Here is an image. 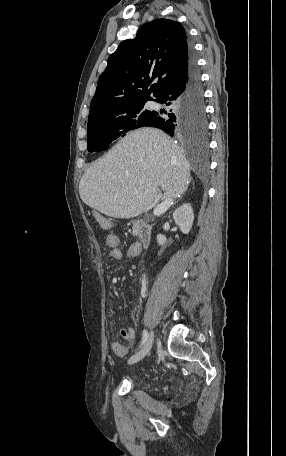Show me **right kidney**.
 <instances>
[{"mask_svg":"<svg viewBox=\"0 0 286 456\" xmlns=\"http://www.w3.org/2000/svg\"><path fill=\"white\" fill-rule=\"evenodd\" d=\"M175 223L180 227L183 234H188L192 228L194 221V213L191 205L185 203L178 207L173 213ZM167 239L164 235H157V242L160 246L166 243Z\"/></svg>","mask_w":286,"mask_h":456,"instance_id":"right-kidney-1","label":"right kidney"}]
</instances>
